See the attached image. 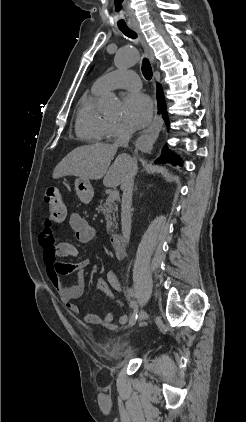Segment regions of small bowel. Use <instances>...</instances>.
Listing matches in <instances>:
<instances>
[{"mask_svg": "<svg viewBox=\"0 0 246 422\" xmlns=\"http://www.w3.org/2000/svg\"><path fill=\"white\" fill-rule=\"evenodd\" d=\"M53 224L54 221L51 218L46 219L38 235V242L43 249V261L46 265L47 277L67 311L72 315H78L79 308L72 301L82 297L85 292L86 281L82 271L90 264V260L84 259L76 263L61 262V258L77 257L78 249L69 242H56ZM69 224L75 233V238L81 243H89L97 237L95 228L77 213H73L70 216ZM70 273H74L73 283L69 287H66L61 280V276ZM94 287L123 306V303L117 300L111 292V288L118 292L121 291L118 278L112 269L107 271L105 279H98ZM84 319L90 325L114 328L113 315L111 313H105L102 316L90 313ZM128 320L129 316L122 314L119 317V324L124 325Z\"/></svg>", "mask_w": 246, "mask_h": 422, "instance_id": "1", "label": "small bowel"}]
</instances>
